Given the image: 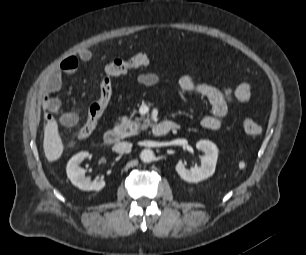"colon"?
<instances>
[{"instance_id": "colon-1", "label": "colon", "mask_w": 306, "mask_h": 255, "mask_svg": "<svg viewBox=\"0 0 306 255\" xmlns=\"http://www.w3.org/2000/svg\"><path fill=\"white\" fill-rule=\"evenodd\" d=\"M149 63V56L145 52H137L127 59H112L104 66V75L99 84L98 99L90 106L85 124L78 131V138L89 137L96 129L100 118L108 107L112 98L111 78L124 75L131 70L142 68ZM243 130L252 137L262 133V127L250 118L241 121Z\"/></svg>"}]
</instances>
